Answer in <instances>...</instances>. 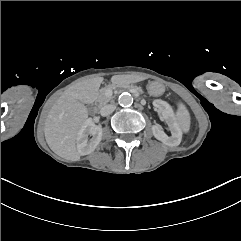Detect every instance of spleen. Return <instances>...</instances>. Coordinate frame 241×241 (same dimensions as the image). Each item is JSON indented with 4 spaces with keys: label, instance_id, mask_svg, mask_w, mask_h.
Instances as JSON below:
<instances>
[{
    "label": "spleen",
    "instance_id": "obj_1",
    "mask_svg": "<svg viewBox=\"0 0 241 241\" xmlns=\"http://www.w3.org/2000/svg\"><path fill=\"white\" fill-rule=\"evenodd\" d=\"M174 121L183 134L188 135L190 133L191 114L188 107L182 100L176 101Z\"/></svg>",
    "mask_w": 241,
    "mask_h": 241
}]
</instances>
